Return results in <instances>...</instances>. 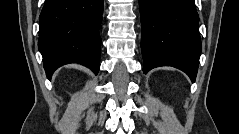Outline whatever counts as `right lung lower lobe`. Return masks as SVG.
I'll return each mask as SVG.
<instances>
[{
  "label": "right lung lower lobe",
  "instance_id": "obj_1",
  "mask_svg": "<svg viewBox=\"0 0 239 134\" xmlns=\"http://www.w3.org/2000/svg\"><path fill=\"white\" fill-rule=\"evenodd\" d=\"M103 0H45L38 49L50 79L62 65L80 63L99 72Z\"/></svg>",
  "mask_w": 239,
  "mask_h": 134
}]
</instances>
